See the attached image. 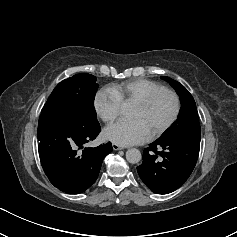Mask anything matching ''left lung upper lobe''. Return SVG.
Returning <instances> with one entry per match:
<instances>
[{"label":"left lung upper lobe","instance_id":"5c2ea615","mask_svg":"<svg viewBox=\"0 0 237 237\" xmlns=\"http://www.w3.org/2000/svg\"><path fill=\"white\" fill-rule=\"evenodd\" d=\"M176 90L181 101L178 119L161 135L159 139L200 138L201 128L195 101L189 91L179 82L162 76Z\"/></svg>","mask_w":237,"mask_h":237}]
</instances>
